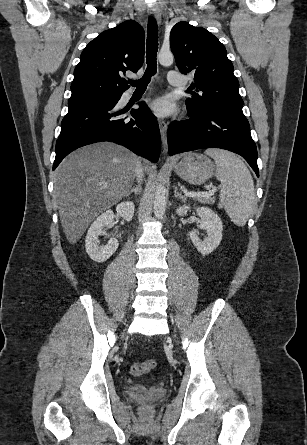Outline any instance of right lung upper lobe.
I'll list each match as a JSON object with an SVG mask.
<instances>
[{"instance_id": "right-lung-upper-lobe-1", "label": "right lung upper lobe", "mask_w": 307, "mask_h": 445, "mask_svg": "<svg viewBox=\"0 0 307 445\" xmlns=\"http://www.w3.org/2000/svg\"><path fill=\"white\" fill-rule=\"evenodd\" d=\"M145 33L127 20L102 32L83 50L74 70L69 101L117 96L129 88L121 72H137L144 61Z\"/></svg>"}]
</instances>
